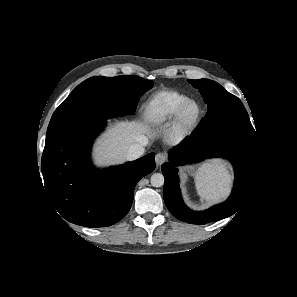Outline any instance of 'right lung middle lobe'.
Instances as JSON below:
<instances>
[{
  "instance_id": "right-lung-middle-lobe-1",
  "label": "right lung middle lobe",
  "mask_w": 297,
  "mask_h": 297,
  "mask_svg": "<svg viewBox=\"0 0 297 297\" xmlns=\"http://www.w3.org/2000/svg\"><path fill=\"white\" fill-rule=\"evenodd\" d=\"M152 86L153 81L136 75L88 78L53 113L45 144L89 123L134 113L140 97Z\"/></svg>"
}]
</instances>
